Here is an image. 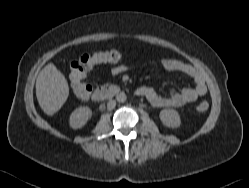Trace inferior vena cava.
<instances>
[{
    "label": "inferior vena cava",
    "mask_w": 249,
    "mask_h": 188,
    "mask_svg": "<svg viewBox=\"0 0 249 188\" xmlns=\"http://www.w3.org/2000/svg\"><path fill=\"white\" fill-rule=\"evenodd\" d=\"M116 106V101L115 100H109L107 103V109L108 110H112L114 109Z\"/></svg>",
    "instance_id": "inferior-vena-cava-1"
}]
</instances>
